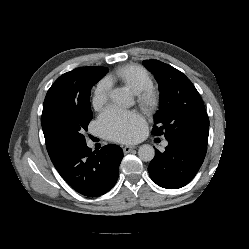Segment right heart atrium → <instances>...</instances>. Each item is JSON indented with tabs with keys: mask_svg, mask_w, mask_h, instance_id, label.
I'll return each instance as SVG.
<instances>
[{
	"mask_svg": "<svg viewBox=\"0 0 249 249\" xmlns=\"http://www.w3.org/2000/svg\"><path fill=\"white\" fill-rule=\"evenodd\" d=\"M113 88V83L109 78L101 79L93 93V104L96 108L103 107L109 100Z\"/></svg>",
	"mask_w": 249,
	"mask_h": 249,
	"instance_id": "1",
	"label": "right heart atrium"
}]
</instances>
